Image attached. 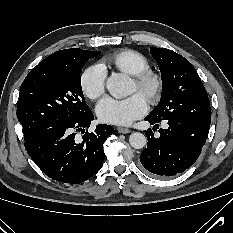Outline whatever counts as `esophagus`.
<instances>
[{"label": "esophagus", "instance_id": "1", "mask_svg": "<svg viewBox=\"0 0 233 233\" xmlns=\"http://www.w3.org/2000/svg\"><path fill=\"white\" fill-rule=\"evenodd\" d=\"M117 131H118L119 133H121V134H127V133L130 132V129L124 128V127H118V128H117Z\"/></svg>", "mask_w": 233, "mask_h": 233}]
</instances>
